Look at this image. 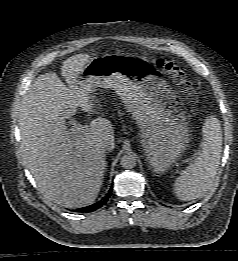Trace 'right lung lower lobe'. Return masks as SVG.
<instances>
[{
  "label": "right lung lower lobe",
  "instance_id": "obj_1",
  "mask_svg": "<svg viewBox=\"0 0 238 261\" xmlns=\"http://www.w3.org/2000/svg\"><path fill=\"white\" fill-rule=\"evenodd\" d=\"M111 193H112V188H110L108 193L100 201H98L97 203H95L93 205L86 207V210H82V212H91V211H94V210L102 207L110 198ZM83 209H85V208H83Z\"/></svg>",
  "mask_w": 238,
  "mask_h": 261
}]
</instances>
